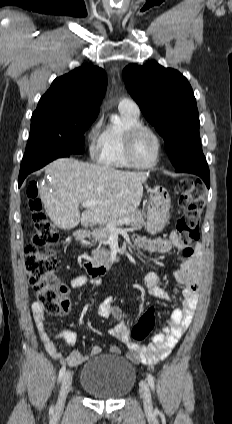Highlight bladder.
I'll use <instances>...</instances> for the list:
<instances>
[{"instance_id":"bladder-1","label":"bladder","mask_w":232,"mask_h":424,"mask_svg":"<svg viewBox=\"0 0 232 424\" xmlns=\"http://www.w3.org/2000/svg\"><path fill=\"white\" fill-rule=\"evenodd\" d=\"M135 367L119 355L101 354L82 368L80 387L100 399H120L133 387Z\"/></svg>"}]
</instances>
